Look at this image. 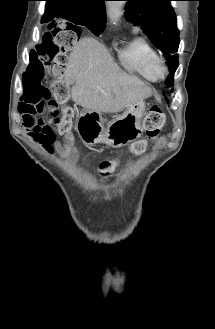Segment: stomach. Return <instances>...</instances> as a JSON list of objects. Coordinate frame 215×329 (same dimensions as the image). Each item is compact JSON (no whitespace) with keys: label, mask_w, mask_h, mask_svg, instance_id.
I'll return each instance as SVG.
<instances>
[{"label":"stomach","mask_w":215,"mask_h":329,"mask_svg":"<svg viewBox=\"0 0 215 329\" xmlns=\"http://www.w3.org/2000/svg\"><path fill=\"white\" fill-rule=\"evenodd\" d=\"M145 112V103L139 100L126 107L123 114L116 116L101 131L91 143H105L108 146L119 148L141 137V120ZM83 115H98L97 112L84 110Z\"/></svg>","instance_id":"obj_1"}]
</instances>
